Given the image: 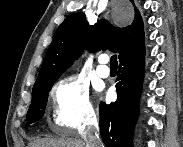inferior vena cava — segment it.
Listing matches in <instances>:
<instances>
[{
    "label": "inferior vena cava",
    "instance_id": "1",
    "mask_svg": "<svg viewBox=\"0 0 183 147\" xmlns=\"http://www.w3.org/2000/svg\"><path fill=\"white\" fill-rule=\"evenodd\" d=\"M99 128L96 118L91 122L90 126L82 134V138L86 143V147H101V140L98 136Z\"/></svg>",
    "mask_w": 183,
    "mask_h": 147
}]
</instances>
